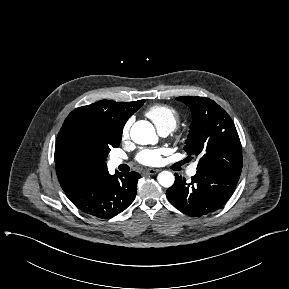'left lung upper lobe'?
<instances>
[{
  "label": "left lung upper lobe",
  "instance_id": "left-lung-upper-lobe-1",
  "mask_svg": "<svg viewBox=\"0 0 289 289\" xmlns=\"http://www.w3.org/2000/svg\"><path fill=\"white\" fill-rule=\"evenodd\" d=\"M192 111L193 120L184 150L200 157L197 169L213 171L239 180L242 148L230 116L205 97H177Z\"/></svg>",
  "mask_w": 289,
  "mask_h": 289
}]
</instances>
